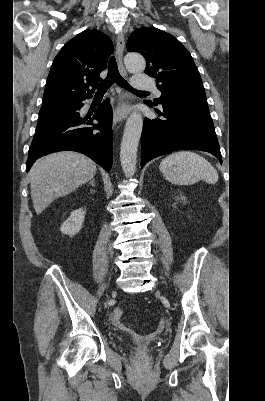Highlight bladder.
<instances>
[{
	"instance_id": "obj_1",
	"label": "bladder",
	"mask_w": 265,
	"mask_h": 401,
	"mask_svg": "<svg viewBox=\"0 0 265 401\" xmlns=\"http://www.w3.org/2000/svg\"><path fill=\"white\" fill-rule=\"evenodd\" d=\"M130 341H131L132 344L137 343V344H143V345H145V346L151 344V341H150V340L138 341V340H136V339H131Z\"/></svg>"
}]
</instances>
